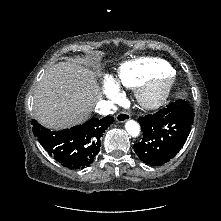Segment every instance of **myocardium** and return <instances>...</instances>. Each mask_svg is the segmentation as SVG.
<instances>
[{
	"mask_svg": "<svg viewBox=\"0 0 221 221\" xmlns=\"http://www.w3.org/2000/svg\"><path fill=\"white\" fill-rule=\"evenodd\" d=\"M175 82L176 78L172 72L153 76L138 87V102L147 109L158 108L169 97Z\"/></svg>",
	"mask_w": 221,
	"mask_h": 221,
	"instance_id": "1",
	"label": "myocardium"
}]
</instances>
